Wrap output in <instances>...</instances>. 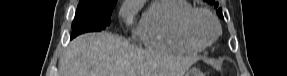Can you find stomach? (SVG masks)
I'll list each match as a JSON object with an SVG mask.
<instances>
[{"mask_svg": "<svg viewBox=\"0 0 287 76\" xmlns=\"http://www.w3.org/2000/svg\"><path fill=\"white\" fill-rule=\"evenodd\" d=\"M186 76H203L202 73L198 70V69H190L188 72H187V75Z\"/></svg>", "mask_w": 287, "mask_h": 76, "instance_id": "0dacf381", "label": "stomach"}]
</instances>
